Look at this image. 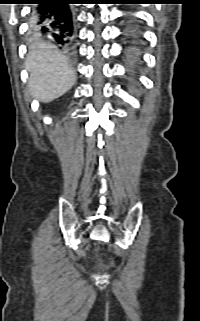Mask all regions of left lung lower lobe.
I'll return each instance as SVG.
<instances>
[{
    "label": "left lung lower lobe",
    "mask_w": 200,
    "mask_h": 321,
    "mask_svg": "<svg viewBox=\"0 0 200 321\" xmlns=\"http://www.w3.org/2000/svg\"><path fill=\"white\" fill-rule=\"evenodd\" d=\"M125 4H134L135 0H128L124 2ZM126 37L130 40L131 43L137 44L139 43L140 36L138 34V30L133 25H128L126 28Z\"/></svg>",
    "instance_id": "obj_1"
}]
</instances>
